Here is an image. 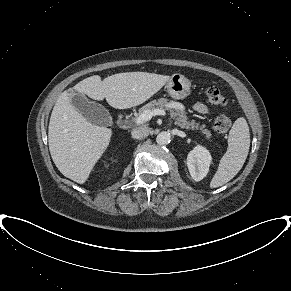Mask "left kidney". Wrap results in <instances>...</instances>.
<instances>
[{
  "instance_id": "5707ae66",
  "label": "left kidney",
  "mask_w": 291,
  "mask_h": 291,
  "mask_svg": "<svg viewBox=\"0 0 291 291\" xmlns=\"http://www.w3.org/2000/svg\"><path fill=\"white\" fill-rule=\"evenodd\" d=\"M211 160L209 151L203 146L197 145L189 152L187 166L191 177L195 181H200L207 175Z\"/></svg>"
}]
</instances>
